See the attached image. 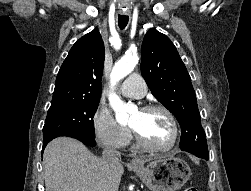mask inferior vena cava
Segmentation results:
<instances>
[{"label":"inferior vena cava","mask_w":251,"mask_h":191,"mask_svg":"<svg viewBox=\"0 0 251 191\" xmlns=\"http://www.w3.org/2000/svg\"><path fill=\"white\" fill-rule=\"evenodd\" d=\"M102 157L103 159H106L108 163H112V165H115V163H120L121 161L120 151H117V149H112V147H104Z\"/></svg>","instance_id":"inferior-vena-cava-1"}]
</instances>
